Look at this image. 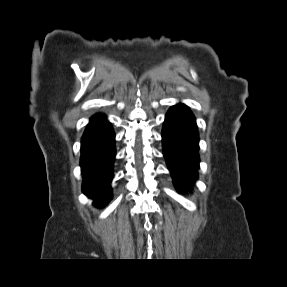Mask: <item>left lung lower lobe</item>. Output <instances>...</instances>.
<instances>
[{
    "instance_id": "left-lung-lower-lobe-1",
    "label": "left lung lower lobe",
    "mask_w": 287,
    "mask_h": 287,
    "mask_svg": "<svg viewBox=\"0 0 287 287\" xmlns=\"http://www.w3.org/2000/svg\"><path fill=\"white\" fill-rule=\"evenodd\" d=\"M199 137L193 113L178 103L166 114L162 129L163 154L174 185L181 193L192 190L199 168Z\"/></svg>"
}]
</instances>
